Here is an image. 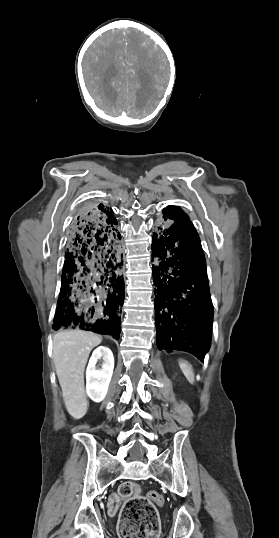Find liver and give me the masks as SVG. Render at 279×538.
Instances as JSON below:
<instances>
[{
	"mask_svg": "<svg viewBox=\"0 0 279 538\" xmlns=\"http://www.w3.org/2000/svg\"><path fill=\"white\" fill-rule=\"evenodd\" d=\"M102 338L83 330H60L53 338V360L66 410L80 420L87 412L84 370L93 348Z\"/></svg>",
	"mask_w": 279,
	"mask_h": 538,
	"instance_id": "obj_1",
	"label": "liver"
}]
</instances>
